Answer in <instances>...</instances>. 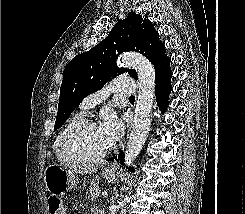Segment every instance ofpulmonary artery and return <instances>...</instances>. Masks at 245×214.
<instances>
[{
  "label": "pulmonary artery",
  "mask_w": 245,
  "mask_h": 214,
  "mask_svg": "<svg viewBox=\"0 0 245 214\" xmlns=\"http://www.w3.org/2000/svg\"><path fill=\"white\" fill-rule=\"evenodd\" d=\"M137 86L133 79L118 77L110 81L104 88L87 96L81 103L83 111H89L102 103L110 93L133 95Z\"/></svg>",
  "instance_id": "e3ab8cb5"
}]
</instances>
